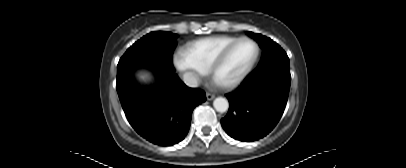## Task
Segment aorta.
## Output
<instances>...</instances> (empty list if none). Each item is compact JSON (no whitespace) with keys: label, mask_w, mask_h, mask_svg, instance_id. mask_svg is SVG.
I'll use <instances>...</instances> for the list:
<instances>
[{"label":"aorta","mask_w":406,"mask_h":168,"mask_svg":"<svg viewBox=\"0 0 406 168\" xmlns=\"http://www.w3.org/2000/svg\"><path fill=\"white\" fill-rule=\"evenodd\" d=\"M213 106L215 108L216 111L218 112H225L228 110L229 108V103L228 100L223 98V97H217L214 101H213Z\"/></svg>","instance_id":"obj_1"}]
</instances>
